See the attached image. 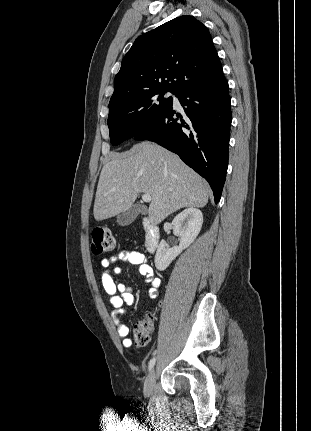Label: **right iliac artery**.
Masks as SVG:
<instances>
[{
	"instance_id": "82829eb1",
	"label": "right iliac artery",
	"mask_w": 311,
	"mask_h": 431,
	"mask_svg": "<svg viewBox=\"0 0 311 431\" xmlns=\"http://www.w3.org/2000/svg\"><path fill=\"white\" fill-rule=\"evenodd\" d=\"M155 361H156L155 357H153V358L149 361V364H148V370H149V371L153 368V366H154V364H155Z\"/></svg>"
}]
</instances>
